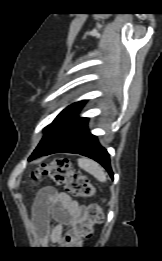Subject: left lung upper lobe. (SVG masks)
Instances as JSON below:
<instances>
[{
  "instance_id": "obj_1",
  "label": "left lung upper lobe",
  "mask_w": 162,
  "mask_h": 261,
  "mask_svg": "<svg viewBox=\"0 0 162 261\" xmlns=\"http://www.w3.org/2000/svg\"><path fill=\"white\" fill-rule=\"evenodd\" d=\"M85 102L84 100L69 105L55 118L53 124L45 130L44 137L29 157V160L44 155L64 137L88 122V118L78 116Z\"/></svg>"
}]
</instances>
